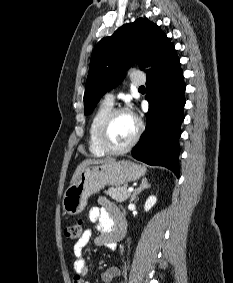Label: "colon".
<instances>
[{
    "instance_id": "obj_1",
    "label": "colon",
    "mask_w": 233,
    "mask_h": 283,
    "mask_svg": "<svg viewBox=\"0 0 233 283\" xmlns=\"http://www.w3.org/2000/svg\"><path fill=\"white\" fill-rule=\"evenodd\" d=\"M83 233V221L81 219L67 226L64 230V236L70 241H78Z\"/></svg>"
}]
</instances>
